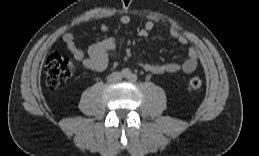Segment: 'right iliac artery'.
Segmentation results:
<instances>
[{
    "instance_id": "82829eb1",
    "label": "right iliac artery",
    "mask_w": 259,
    "mask_h": 156,
    "mask_svg": "<svg viewBox=\"0 0 259 156\" xmlns=\"http://www.w3.org/2000/svg\"><path fill=\"white\" fill-rule=\"evenodd\" d=\"M121 75H122L123 77H129V75H130V70L127 69V68L123 69V70L121 71Z\"/></svg>"
}]
</instances>
